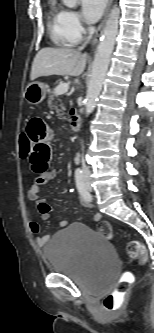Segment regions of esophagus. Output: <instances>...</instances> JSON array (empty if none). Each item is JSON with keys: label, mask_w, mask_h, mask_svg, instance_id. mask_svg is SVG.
Returning a JSON list of instances; mask_svg holds the SVG:
<instances>
[{"label": "esophagus", "mask_w": 154, "mask_h": 333, "mask_svg": "<svg viewBox=\"0 0 154 333\" xmlns=\"http://www.w3.org/2000/svg\"><path fill=\"white\" fill-rule=\"evenodd\" d=\"M111 3H112V0H108V5H107V8H106V11L104 13V16H103V19H102L101 23L99 24V26L97 28L96 34H95L94 39H93V44H95L99 40V38L101 37V35L103 33V29H104V26H105V23H106V20H107V16H108V13H109V10H110V7H111Z\"/></svg>", "instance_id": "1"}]
</instances>
